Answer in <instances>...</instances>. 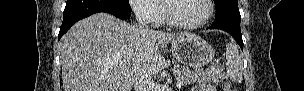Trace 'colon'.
Instances as JSON below:
<instances>
[{"mask_svg":"<svg viewBox=\"0 0 304 91\" xmlns=\"http://www.w3.org/2000/svg\"><path fill=\"white\" fill-rule=\"evenodd\" d=\"M224 90H225V91H232L228 85H225V86H224Z\"/></svg>","mask_w":304,"mask_h":91,"instance_id":"1","label":"colon"}]
</instances>
